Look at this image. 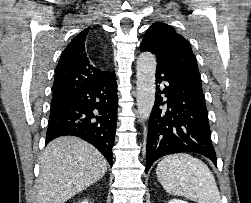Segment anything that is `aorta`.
<instances>
[{
  "mask_svg": "<svg viewBox=\"0 0 251 203\" xmlns=\"http://www.w3.org/2000/svg\"><path fill=\"white\" fill-rule=\"evenodd\" d=\"M156 57L151 52H143L137 59V108L142 120H147L155 102Z\"/></svg>",
  "mask_w": 251,
  "mask_h": 203,
  "instance_id": "aorta-1",
  "label": "aorta"
}]
</instances>
